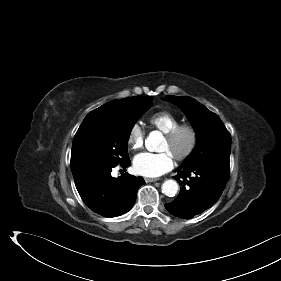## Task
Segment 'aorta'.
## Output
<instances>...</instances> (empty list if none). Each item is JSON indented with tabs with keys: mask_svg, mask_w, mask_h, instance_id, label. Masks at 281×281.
<instances>
[{
	"mask_svg": "<svg viewBox=\"0 0 281 281\" xmlns=\"http://www.w3.org/2000/svg\"><path fill=\"white\" fill-rule=\"evenodd\" d=\"M162 138V134L158 131H153L149 134L145 140V147L148 151H156L157 146ZM179 189L178 183L175 180H166L162 184V192L169 197H173L177 194Z\"/></svg>",
	"mask_w": 281,
	"mask_h": 281,
	"instance_id": "762f6f07",
	"label": "aorta"
}]
</instances>
